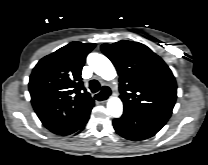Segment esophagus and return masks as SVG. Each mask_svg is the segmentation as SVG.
Returning <instances> with one entry per match:
<instances>
[{"label": "esophagus", "instance_id": "1", "mask_svg": "<svg viewBox=\"0 0 208 165\" xmlns=\"http://www.w3.org/2000/svg\"><path fill=\"white\" fill-rule=\"evenodd\" d=\"M110 92V91H109ZM110 95V94H109ZM96 99V98H95ZM108 99L109 98H107L106 100H102V101H98V102H100V103H105V102H107L108 101Z\"/></svg>", "mask_w": 208, "mask_h": 165}]
</instances>
